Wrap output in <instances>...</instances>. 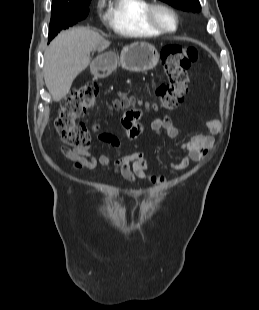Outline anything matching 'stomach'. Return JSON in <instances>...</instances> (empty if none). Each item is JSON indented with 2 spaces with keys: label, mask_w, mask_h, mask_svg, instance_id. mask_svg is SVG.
I'll list each match as a JSON object with an SVG mask.
<instances>
[{
  "label": "stomach",
  "mask_w": 259,
  "mask_h": 310,
  "mask_svg": "<svg viewBox=\"0 0 259 310\" xmlns=\"http://www.w3.org/2000/svg\"><path fill=\"white\" fill-rule=\"evenodd\" d=\"M160 55L157 49L146 42H137L124 47L120 55V65L131 72L153 69ZM117 67V57L113 52L99 55L91 64V71L97 77H106Z\"/></svg>",
  "instance_id": "stomach-1"
}]
</instances>
